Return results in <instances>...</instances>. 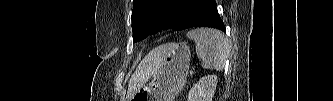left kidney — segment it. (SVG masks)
<instances>
[{
    "label": "left kidney",
    "mask_w": 333,
    "mask_h": 101,
    "mask_svg": "<svg viewBox=\"0 0 333 101\" xmlns=\"http://www.w3.org/2000/svg\"><path fill=\"white\" fill-rule=\"evenodd\" d=\"M218 78L216 75L202 77L190 90L188 101H212Z\"/></svg>",
    "instance_id": "1"
}]
</instances>
